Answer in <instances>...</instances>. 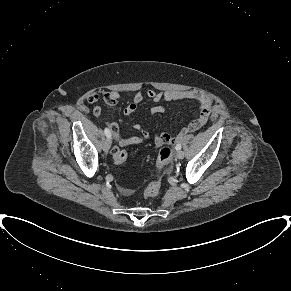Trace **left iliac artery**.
Returning <instances> with one entry per match:
<instances>
[{"label": "left iliac artery", "mask_w": 291, "mask_h": 291, "mask_svg": "<svg viewBox=\"0 0 291 291\" xmlns=\"http://www.w3.org/2000/svg\"><path fill=\"white\" fill-rule=\"evenodd\" d=\"M175 148H176V150H180L181 149V144H177Z\"/></svg>", "instance_id": "obj_1"}]
</instances>
